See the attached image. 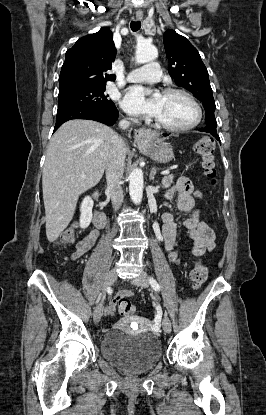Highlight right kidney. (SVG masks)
<instances>
[{
	"label": "right kidney",
	"mask_w": 266,
	"mask_h": 415,
	"mask_svg": "<svg viewBox=\"0 0 266 415\" xmlns=\"http://www.w3.org/2000/svg\"><path fill=\"white\" fill-rule=\"evenodd\" d=\"M93 200L89 197L86 196L82 203H81V207H80V227L81 228H87L92 220V208H93Z\"/></svg>",
	"instance_id": "right-kidney-1"
}]
</instances>
